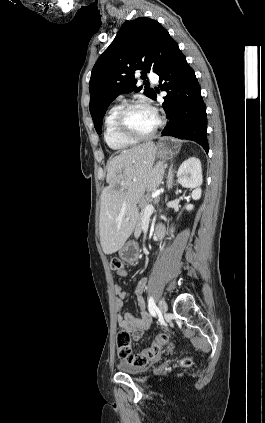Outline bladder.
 Segmentation results:
<instances>
[{"label": "bladder", "instance_id": "1", "mask_svg": "<svg viewBox=\"0 0 265 423\" xmlns=\"http://www.w3.org/2000/svg\"><path fill=\"white\" fill-rule=\"evenodd\" d=\"M155 359H157V358H155ZM117 368H118V370L120 372L125 373V374H128V375H140V374H142L146 370V367L145 366L131 368V367H128V366H126L124 364H119L117 366Z\"/></svg>", "mask_w": 265, "mask_h": 423}]
</instances>
